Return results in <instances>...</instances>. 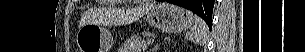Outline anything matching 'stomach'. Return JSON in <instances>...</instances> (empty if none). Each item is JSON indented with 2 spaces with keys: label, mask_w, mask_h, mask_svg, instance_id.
Listing matches in <instances>:
<instances>
[{
  "label": "stomach",
  "mask_w": 305,
  "mask_h": 52,
  "mask_svg": "<svg viewBox=\"0 0 305 52\" xmlns=\"http://www.w3.org/2000/svg\"><path fill=\"white\" fill-rule=\"evenodd\" d=\"M151 26L166 33H179L192 26V12L182 7L160 2L146 14ZM80 52H107L113 45L111 33L98 23L82 26L76 35Z\"/></svg>",
  "instance_id": "stomach-1"
}]
</instances>
